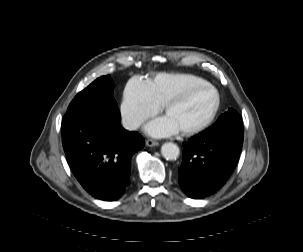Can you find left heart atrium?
Masks as SVG:
<instances>
[{"instance_id": "obj_1", "label": "left heart atrium", "mask_w": 303, "mask_h": 252, "mask_svg": "<svg viewBox=\"0 0 303 252\" xmlns=\"http://www.w3.org/2000/svg\"><path fill=\"white\" fill-rule=\"evenodd\" d=\"M176 130V126L167 116L158 117L149 122L145 127L146 133L153 137L171 136Z\"/></svg>"}]
</instances>
